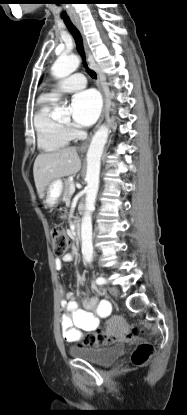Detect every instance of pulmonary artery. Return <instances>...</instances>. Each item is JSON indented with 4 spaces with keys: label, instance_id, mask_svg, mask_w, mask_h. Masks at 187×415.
<instances>
[{
    "label": "pulmonary artery",
    "instance_id": "obj_1",
    "mask_svg": "<svg viewBox=\"0 0 187 415\" xmlns=\"http://www.w3.org/2000/svg\"><path fill=\"white\" fill-rule=\"evenodd\" d=\"M86 80L83 74L75 73L56 84L54 90L48 94L52 99L56 98L58 92H72L83 89Z\"/></svg>",
    "mask_w": 187,
    "mask_h": 415
}]
</instances>
